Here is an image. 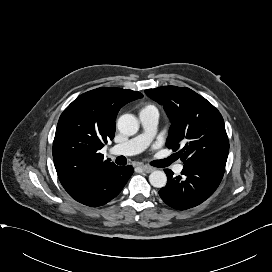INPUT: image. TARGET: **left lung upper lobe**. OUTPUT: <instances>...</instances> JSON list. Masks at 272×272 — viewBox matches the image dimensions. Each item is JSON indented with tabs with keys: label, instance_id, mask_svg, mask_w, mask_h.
Here are the masks:
<instances>
[{
	"label": "left lung upper lobe",
	"instance_id": "left-lung-upper-lobe-1",
	"mask_svg": "<svg viewBox=\"0 0 272 272\" xmlns=\"http://www.w3.org/2000/svg\"><path fill=\"white\" fill-rule=\"evenodd\" d=\"M164 106L171 126L166 146L177 152L184 165H226L229 141L220 112L189 88L158 87L145 91Z\"/></svg>",
	"mask_w": 272,
	"mask_h": 272
}]
</instances>
